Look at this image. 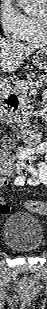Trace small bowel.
<instances>
[{"mask_svg":"<svg viewBox=\"0 0 47 309\" xmlns=\"http://www.w3.org/2000/svg\"><path fill=\"white\" fill-rule=\"evenodd\" d=\"M12 143L8 141L4 146L0 165V188L45 185L47 165L44 162L35 164V161L46 152L47 145L40 143L10 153L9 147Z\"/></svg>","mask_w":47,"mask_h":309,"instance_id":"c3829d8e","label":"small bowel"}]
</instances>
